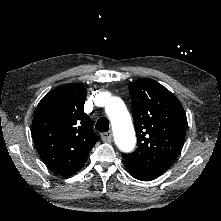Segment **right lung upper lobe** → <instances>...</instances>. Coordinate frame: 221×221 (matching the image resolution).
Wrapping results in <instances>:
<instances>
[{"mask_svg":"<svg viewBox=\"0 0 221 221\" xmlns=\"http://www.w3.org/2000/svg\"><path fill=\"white\" fill-rule=\"evenodd\" d=\"M85 87L70 83L56 87L38 104L32 137L44 164L61 176L79 171L99 137L84 113Z\"/></svg>","mask_w":221,"mask_h":221,"instance_id":"obj_1","label":"right lung upper lobe"}]
</instances>
